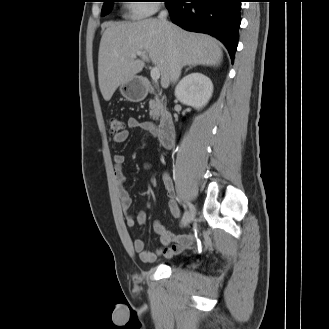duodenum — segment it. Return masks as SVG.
I'll return each mask as SVG.
<instances>
[{
    "instance_id": "obj_1",
    "label": "duodenum",
    "mask_w": 329,
    "mask_h": 329,
    "mask_svg": "<svg viewBox=\"0 0 329 329\" xmlns=\"http://www.w3.org/2000/svg\"><path fill=\"white\" fill-rule=\"evenodd\" d=\"M150 88V83H148ZM160 144L164 148H171L175 142V126L171 113L165 112L161 115L159 120V133H158Z\"/></svg>"
}]
</instances>
